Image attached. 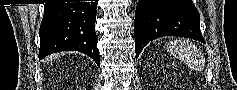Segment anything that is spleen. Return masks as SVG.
I'll return each mask as SVG.
<instances>
[{"label": "spleen", "instance_id": "3e777b00", "mask_svg": "<svg viewBox=\"0 0 237 90\" xmlns=\"http://www.w3.org/2000/svg\"><path fill=\"white\" fill-rule=\"evenodd\" d=\"M167 48L176 58L189 60L192 66L201 62L202 56H199L197 48H195L194 44H190L188 40H174V42L168 44Z\"/></svg>", "mask_w": 237, "mask_h": 90}]
</instances>
